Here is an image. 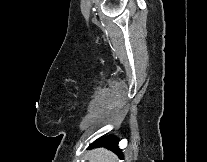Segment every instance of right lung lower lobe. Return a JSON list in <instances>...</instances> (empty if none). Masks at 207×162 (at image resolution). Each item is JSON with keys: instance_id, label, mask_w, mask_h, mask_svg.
I'll return each instance as SVG.
<instances>
[{"instance_id": "98d812e1", "label": "right lung lower lobe", "mask_w": 207, "mask_h": 162, "mask_svg": "<svg viewBox=\"0 0 207 162\" xmlns=\"http://www.w3.org/2000/svg\"><path fill=\"white\" fill-rule=\"evenodd\" d=\"M118 139L116 137L113 136H109V137H102L97 139L91 146L92 147H98V146H104L107 147L108 149H111L113 151H115L117 154L120 155V157H122V153L121 150L118 148Z\"/></svg>"}]
</instances>
